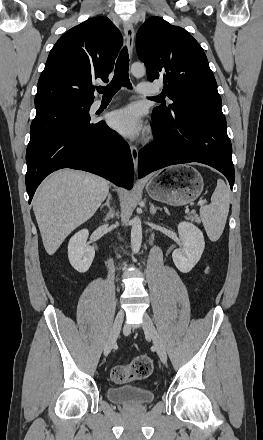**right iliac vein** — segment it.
Wrapping results in <instances>:
<instances>
[{"instance_id": "63e3f726", "label": "right iliac vein", "mask_w": 263, "mask_h": 440, "mask_svg": "<svg viewBox=\"0 0 263 440\" xmlns=\"http://www.w3.org/2000/svg\"><path fill=\"white\" fill-rule=\"evenodd\" d=\"M123 319H124V311L122 309H120L116 314L113 326H112V328L109 332V335L107 337V340H106V343L104 346V356H107L111 352L112 348L114 347L116 340H117V337H118L120 330H121Z\"/></svg>"}]
</instances>
